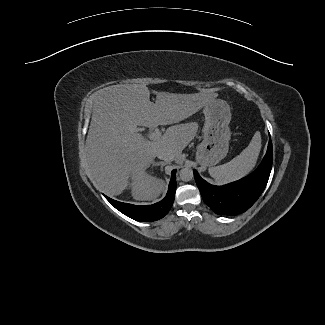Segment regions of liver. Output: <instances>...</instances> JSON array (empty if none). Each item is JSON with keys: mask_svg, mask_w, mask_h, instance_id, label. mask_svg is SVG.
Returning <instances> with one entry per match:
<instances>
[{"mask_svg": "<svg viewBox=\"0 0 325 325\" xmlns=\"http://www.w3.org/2000/svg\"><path fill=\"white\" fill-rule=\"evenodd\" d=\"M141 84L113 85L93 94V113L86 139L90 177L108 195H119L132 175H141L161 149L171 151L176 163L194 139L197 123L170 126L157 140L137 133V126L157 127L178 123L212 103L214 92L175 94L154 92Z\"/></svg>", "mask_w": 325, "mask_h": 325, "instance_id": "1", "label": "liver"}]
</instances>
